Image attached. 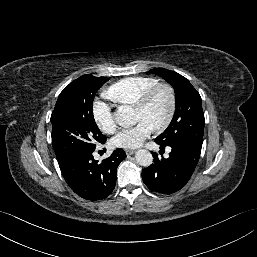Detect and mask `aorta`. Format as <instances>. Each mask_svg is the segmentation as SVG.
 Wrapping results in <instances>:
<instances>
[{
	"mask_svg": "<svg viewBox=\"0 0 257 257\" xmlns=\"http://www.w3.org/2000/svg\"><path fill=\"white\" fill-rule=\"evenodd\" d=\"M115 121L121 127H130L135 124V118L132 108L128 106H121L114 113ZM137 163L141 166L148 167L152 164V154L146 149H139L135 154Z\"/></svg>",
	"mask_w": 257,
	"mask_h": 257,
	"instance_id": "aorta-1",
	"label": "aorta"
}]
</instances>
